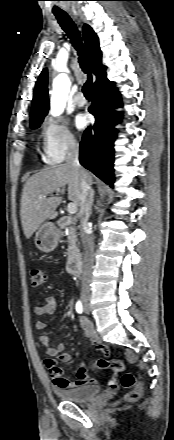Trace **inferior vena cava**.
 I'll use <instances>...</instances> for the list:
<instances>
[{
    "mask_svg": "<svg viewBox=\"0 0 174 440\" xmlns=\"http://www.w3.org/2000/svg\"><path fill=\"white\" fill-rule=\"evenodd\" d=\"M79 146L77 142L72 139L68 144V152L66 156V164L71 165L79 174L81 186V203H80V236L83 246L85 247L84 265L81 278L82 296L90 294V279L92 275L94 254L93 242L89 236L90 228L88 226V219L92 208V194L93 190L88 181L87 172L81 167L79 163Z\"/></svg>",
    "mask_w": 174,
    "mask_h": 440,
    "instance_id": "602c4592",
    "label": "inferior vena cava"
}]
</instances>
